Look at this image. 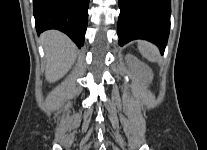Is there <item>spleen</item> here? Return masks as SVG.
I'll return each mask as SVG.
<instances>
[{
	"instance_id": "obj_1",
	"label": "spleen",
	"mask_w": 207,
	"mask_h": 150,
	"mask_svg": "<svg viewBox=\"0 0 207 150\" xmlns=\"http://www.w3.org/2000/svg\"><path fill=\"white\" fill-rule=\"evenodd\" d=\"M138 49L143 57L151 62L158 61V49L153 44L146 41L138 42Z\"/></svg>"
}]
</instances>
